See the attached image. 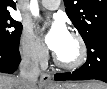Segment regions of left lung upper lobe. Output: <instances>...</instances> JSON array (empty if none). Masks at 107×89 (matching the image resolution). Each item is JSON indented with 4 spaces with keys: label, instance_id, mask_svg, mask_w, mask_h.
Wrapping results in <instances>:
<instances>
[{
    "label": "left lung upper lobe",
    "instance_id": "5c2ea615",
    "mask_svg": "<svg viewBox=\"0 0 107 89\" xmlns=\"http://www.w3.org/2000/svg\"><path fill=\"white\" fill-rule=\"evenodd\" d=\"M64 4L85 43L107 32V0H64Z\"/></svg>",
    "mask_w": 107,
    "mask_h": 89
}]
</instances>
